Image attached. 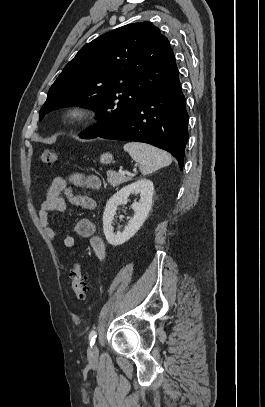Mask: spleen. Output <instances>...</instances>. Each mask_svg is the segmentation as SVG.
<instances>
[{"mask_svg": "<svg viewBox=\"0 0 265 407\" xmlns=\"http://www.w3.org/2000/svg\"><path fill=\"white\" fill-rule=\"evenodd\" d=\"M124 150L134 161L140 163V172L143 175H148L172 162L167 152L146 143L129 142L124 145Z\"/></svg>", "mask_w": 265, "mask_h": 407, "instance_id": "3e777b00", "label": "spleen"}]
</instances>
